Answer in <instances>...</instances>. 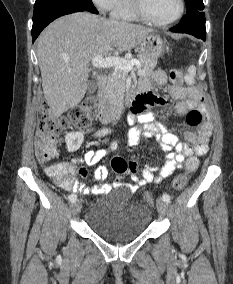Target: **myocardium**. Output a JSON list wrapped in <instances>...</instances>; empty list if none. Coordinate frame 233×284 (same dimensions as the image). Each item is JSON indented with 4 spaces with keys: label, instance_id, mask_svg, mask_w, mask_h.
<instances>
[{
    "label": "myocardium",
    "instance_id": "myocardium-1",
    "mask_svg": "<svg viewBox=\"0 0 233 284\" xmlns=\"http://www.w3.org/2000/svg\"><path fill=\"white\" fill-rule=\"evenodd\" d=\"M132 3H133V8L140 19L159 27L169 26L177 22L182 17L185 9L184 0H178L179 9L177 14L170 20L158 21L149 15V13L145 8L144 0H132Z\"/></svg>",
    "mask_w": 233,
    "mask_h": 284
}]
</instances>
